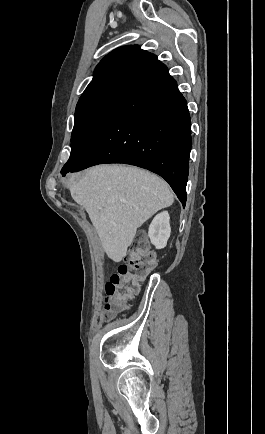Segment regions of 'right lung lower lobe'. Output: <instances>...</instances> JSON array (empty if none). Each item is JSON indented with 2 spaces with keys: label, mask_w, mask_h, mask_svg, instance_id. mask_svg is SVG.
Returning <instances> with one entry per match:
<instances>
[{
  "label": "right lung lower lobe",
  "mask_w": 265,
  "mask_h": 434,
  "mask_svg": "<svg viewBox=\"0 0 265 434\" xmlns=\"http://www.w3.org/2000/svg\"><path fill=\"white\" fill-rule=\"evenodd\" d=\"M192 146L187 102L156 60L127 84L76 172L103 163H124L163 177L185 206Z\"/></svg>",
  "instance_id": "1"
}]
</instances>
